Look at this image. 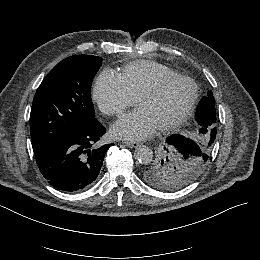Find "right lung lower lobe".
Masks as SVG:
<instances>
[{
  "label": "right lung lower lobe",
  "instance_id": "1",
  "mask_svg": "<svg viewBox=\"0 0 260 260\" xmlns=\"http://www.w3.org/2000/svg\"><path fill=\"white\" fill-rule=\"evenodd\" d=\"M105 132L103 125L96 120L78 136L36 153L37 165L49 184L64 192H78L94 183L104 155L113 145L100 146L97 143Z\"/></svg>",
  "mask_w": 260,
  "mask_h": 260
}]
</instances>
